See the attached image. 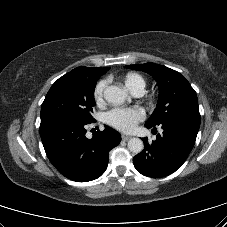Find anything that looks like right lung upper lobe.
I'll list each match as a JSON object with an SVG mask.
<instances>
[{"label": "right lung upper lobe", "instance_id": "1", "mask_svg": "<svg viewBox=\"0 0 227 227\" xmlns=\"http://www.w3.org/2000/svg\"><path fill=\"white\" fill-rule=\"evenodd\" d=\"M110 68H90V67H78L73 69L71 72H81V73H92V74H98L102 75L106 73Z\"/></svg>", "mask_w": 227, "mask_h": 227}]
</instances>
